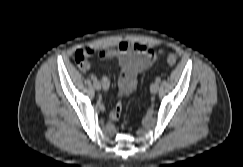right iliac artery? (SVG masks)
<instances>
[{"label":"right iliac artery","mask_w":243,"mask_h":167,"mask_svg":"<svg viewBox=\"0 0 243 167\" xmlns=\"http://www.w3.org/2000/svg\"><path fill=\"white\" fill-rule=\"evenodd\" d=\"M91 79H92L94 82L97 81V78H96V76H94V75L91 76Z\"/></svg>","instance_id":"1"}]
</instances>
